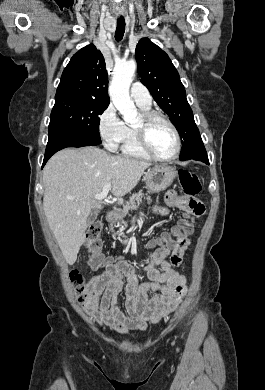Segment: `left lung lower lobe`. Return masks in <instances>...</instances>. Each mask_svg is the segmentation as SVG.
<instances>
[{
    "instance_id": "obj_1",
    "label": "left lung lower lobe",
    "mask_w": 265,
    "mask_h": 390,
    "mask_svg": "<svg viewBox=\"0 0 265 390\" xmlns=\"http://www.w3.org/2000/svg\"><path fill=\"white\" fill-rule=\"evenodd\" d=\"M190 159L199 160L206 164H209V160L205 148L200 149L198 152L192 155Z\"/></svg>"
}]
</instances>
